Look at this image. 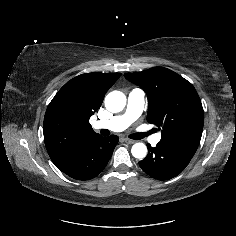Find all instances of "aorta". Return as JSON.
<instances>
[{"mask_svg": "<svg viewBox=\"0 0 236 236\" xmlns=\"http://www.w3.org/2000/svg\"><path fill=\"white\" fill-rule=\"evenodd\" d=\"M105 107L108 111L117 113L124 109L126 96L121 91H112L105 97ZM133 157L143 159L147 155V147L143 143H135L131 148Z\"/></svg>", "mask_w": 236, "mask_h": 236, "instance_id": "aorta-1", "label": "aorta"}]
</instances>
